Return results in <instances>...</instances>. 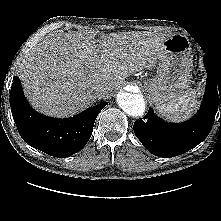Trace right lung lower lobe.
<instances>
[{
  "instance_id": "1",
  "label": "right lung lower lobe",
  "mask_w": 221,
  "mask_h": 221,
  "mask_svg": "<svg viewBox=\"0 0 221 221\" xmlns=\"http://www.w3.org/2000/svg\"><path fill=\"white\" fill-rule=\"evenodd\" d=\"M108 103L90 107L73 117L50 118L36 112L26 100L18 77L13 78L10 106L18 132L30 146L54 157H69L88 142L94 122Z\"/></svg>"
}]
</instances>
